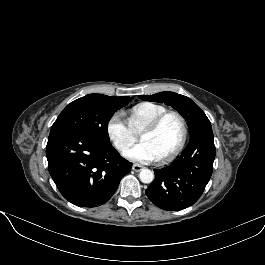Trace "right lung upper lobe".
<instances>
[{
	"label": "right lung upper lobe",
	"instance_id": "1",
	"mask_svg": "<svg viewBox=\"0 0 265 265\" xmlns=\"http://www.w3.org/2000/svg\"><path fill=\"white\" fill-rule=\"evenodd\" d=\"M91 95H95V96L101 98L102 100H104L106 102H113V103L120 102V101H123L127 98H130V97H111V96H106V95H102V94H91Z\"/></svg>",
	"mask_w": 265,
	"mask_h": 265
}]
</instances>
